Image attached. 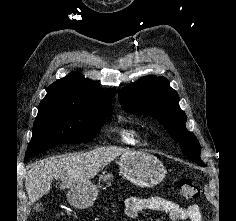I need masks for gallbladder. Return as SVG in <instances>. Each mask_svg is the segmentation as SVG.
Segmentation results:
<instances>
[{
    "label": "gallbladder",
    "instance_id": "bac80fb5",
    "mask_svg": "<svg viewBox=\"0 0 236 221\" xmlns=\"http://www.w3.org/2000/svg\"><path fill=\"white\" fill-rule=\"evenodd\" d=\"M36 210L37 211H41L42 209V204L41 203H37L36 206H35Z\"/></svg>",
    "mask_w": 236,
    "mask_h": 221
}]
</instances>
